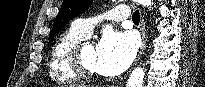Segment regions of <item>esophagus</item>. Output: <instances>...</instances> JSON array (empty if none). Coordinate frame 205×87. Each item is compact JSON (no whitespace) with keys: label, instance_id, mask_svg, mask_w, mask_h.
Masks as SVG:
<instances>
[{"label":"esophagus","instance_id":"esophagus-1","mask_svg":"<svg viewBox=\"0 0 205 87\" xmlns=\"http://www.w3.org/2000/svg\"><path fill=\"white\" fill-rule=\"evenodd\" d=\"M140 32H141V36H142V43H141V46H140L135 63H137V61L140 59V57L145 49L146 42H147V33H146V28H145V21H144L142 16H141V21H140Z\"/></svg>","mask_w":205,"mask_h":87}]
</instances>
